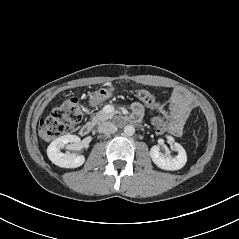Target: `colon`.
I'll use <instances>...</instances> for the list:
<instances>
[{
  "label": "colon",
  "mask_w": 239,
  "mask_h": 239,
  "mask_svg": "<svg viewBox=\"0 0 239 239\" xmlns=\"http://www.w3.org/2000/svg\"><path fill=\"white\" fill-rule=\"evenodd\" d=\"M133 94L145 103L152 111L149 113L150 124L158 135L168 133L171 126L170 116L160 108L155 97L148 90L133 87ZM83 118V108L77 98L64 100L59 106L53 108L40 122L42 138L49 140L62 134L67 129L77 125Z\"/></svg>",
  "instance_id": "5ec220e1"
}]
</instances>
